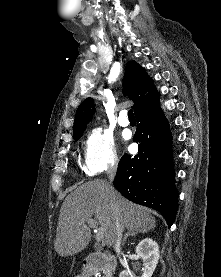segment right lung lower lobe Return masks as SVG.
I'll use <instances>...</instances> for the list:
<instances>
[{"instance_id":"98d812e1","label":"right lung lower lobe","mask_w":221,"mask_h":277,"mask_svg":"<svg viewBox=\"0 0 221 277\" xmlns=\"http://www.w3.org/2000/svg\"><path fill=\"white\" fill-rule=\"evenodd\" d=\"M159 93L136 113L138 154L121 158L115 188L127 199L159 211L170 227L177 211L171 133L159 106Z\"/></svg>"}]
</instances>
